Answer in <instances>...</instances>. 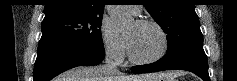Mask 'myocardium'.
<instances>
[{
    "label": "myocardium",
    "mask_w": 237,
    "mask_h": 81,
    "mask_svg": "<svg viewBox=\"0 0 237 81\" xmlns=\"http://www.w3.org/2000/svg\"><path fill=\"white\" fill-rule=\"evenodd\" d=\"M136 23L140 26H152V27H154L158 31V33L160 34L163 45H162V48H161L160 52L157 55H155L151 58H147V59H140V58H137L132 53L130 44H129L127 38H126L125 40H126L127 53H128V57H129L130 61L134 64H139V65L150 64V63H154V62L159 61L160 59H162L166 55V53L168 51V48H169V39H168V36H167L166 32L164 31V29L157 22H155L153 20L138 19L136 21Z\"/></svg>",
    "instance_id": "1"
}]
</instances>
